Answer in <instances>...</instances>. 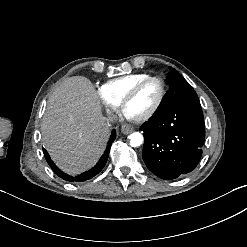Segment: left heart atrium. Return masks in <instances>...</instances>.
Listing matches in <instances>:
<instances>
[{
  "label": "left heart atrium",
  "mask_w": 247,
  "mask_h": 247,
  "mask_svg": "<svg viewBox=\"0 0 247 247\" xmlns=\"http://www.w3.org/2000/svg\"><path fill=\"white\" fill-rule=\"evenodd\" d=\"M123 115L125 116L126 119L132 120L135 119L136 117L128 110H124Z\"/></svg>",
  "instance_id": "39dd6f15"
}]
</instances>
